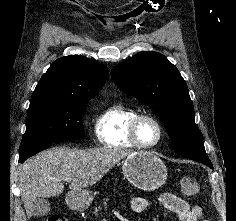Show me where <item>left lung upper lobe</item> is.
Listing matches in <instances>:
<instances>
[{"label":"left lung upper lobe","instance_id":"1","mask_svg":"<svg viewBox=\"0 0 236 221\" xmlns=\"http://www.w3.org/2000/svg\"><path fill=\"white\" fill-rule=\"evenodd\" d=\"M127 95L150 106L162 120L176 153L213 168L195 123L187 84L175 65L153 51H142L112 69Z\"/></svg>","mask_w":236,"mask_h":221}]
</instances>
